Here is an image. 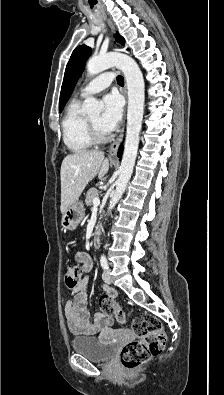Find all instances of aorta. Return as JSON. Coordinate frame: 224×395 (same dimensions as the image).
Here are the masks:
<instances>
[{
    "instance_id": "762f6f07",
    "label": "aorta",
    "mask_w": 224,
    "mask_h": 395,
    "mask_svg": "<svg viewBox=\"0 0 224 395\" xmlns=\"http://www.w3.org/2000/svg\"><path fill=\"white\" fill-rule=\"evenodd\" d=\"M111 67L120 69L125 76L128 89V109L126 140L120 165V174L116 181L115 193L110 200L109 211L114 208L122 197L133 172L140 140L145 101L143 75L138 64L130 56L122 53L99 55L91 58L86 66L88 75L91 76ZM102 107V103L94 97H88L84 101L83 111L88 115H96L101 112Z\"/></svg>"
}]
</instances>
